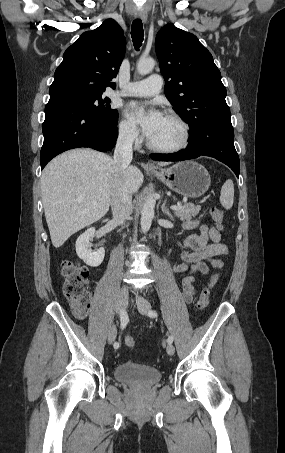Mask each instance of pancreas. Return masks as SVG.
I'll return each mask as SVG.
<instances>
[{
  "label": "pancreas",
  "instance_id": "1",
  "mask_svg": "<svg viewBox=\"0 0 285 453\" xmlns=\"http://www.w3.org/2000/svg\"><path fill=\"white\" fill-rule=\"evenodd\" d=\"M181 206L182 208L174 210V214L182 221H190L201 210V206H194L193 204H184Z\"/></svg>",
  "mask_w": 285,
  "mask_h": 453
}]
</instances>
